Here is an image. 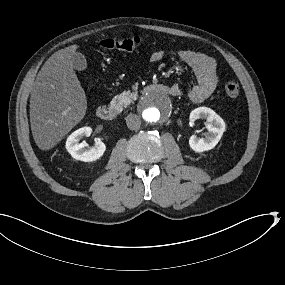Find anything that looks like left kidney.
<instances>
[{"mask_svg": "<svg viewBox=\"0 0 285 285\" xmlns=\"http://www.w3.org/2000/svg\"><path fill=\"white\" fill-rule=\"evenodd\" d=\"M199 118L209 122L208 134L206 138H198L192 135L189 139V146L194 152L203 153L212 150L218 144L225 131L226 124L219 115L206 107H200L191 112L190 120L195 121Z\"/></svg>", "mask_w": 285, "mask_h": 285, "instance_id": "1", "label": "left kidney"}]
</instances>
